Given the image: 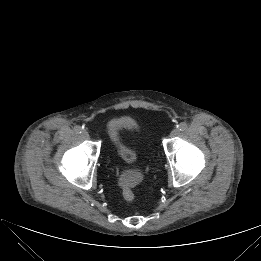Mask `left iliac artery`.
Wrapping results in <instances>:
<instances>
[{"mask_svg": "<svg viewBox=\"0 0 261 261\" xmlns=\"http://www.w3.org/2000/svg\"><path fill=\"white\" fill-rule=\"evenodd\" d=\"M187 127H188V125H187L186 122H181L179 125H177V128H178L180 131L186 130Z\"/></svg>", "mask_w": 261, "mask_h": 261, "instance_id": "1", "label": "left iliac artery"}]
</instances>
